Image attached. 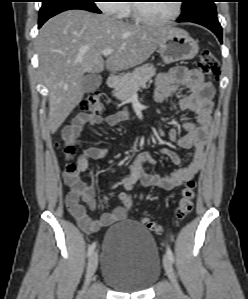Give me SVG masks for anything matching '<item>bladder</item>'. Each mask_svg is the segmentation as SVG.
I'll return each instance as SVG.
<instances>
[{"instance_id": "31cf9c89", "label": "bladder", "mask_w": 248, "mask_h": 299, "mask_svg": "<svg viewBox=\"0 0 248 299\" xmlns=\"http://www.w3.org/2000/svg\"><path fill=\"white\" fill-rule=\"evenodd\" d=\"M161 261L154 238L142 225L124 220L103 240L102 279L122 292H142L159 278Z\"/></svg>"}]
</instances>
